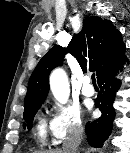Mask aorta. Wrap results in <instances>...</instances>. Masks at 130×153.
<instances>
[{
    "mask_svg": "<svg viewBox=\"0 0 130 153\" xmlns=\"http://www.w3.org/2000/svg\"><path fill=\"white\" fill-rule=\"evenodd\" d=\"M50 88L55 99L65 104L70 95V88L66 72L62 68H57L50 75Z\"/></svg>",
    "mask_w": 130,
    "mask_h": 153,
    "instance_id": "obj_1",
    "label": "aorta"
}]
</instances>
